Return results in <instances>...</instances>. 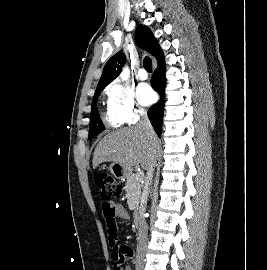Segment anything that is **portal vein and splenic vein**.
<instances>
[{
    "instance_id": "portal-vein-and-splenic-vein-1",
    "label": "portal vein and splenic vein",
    "mask_w": 267,
    "mask_h": 270,
    "mask_svg": "<svg viewBox=\"0 0 267 270\" xmlns=\"http://www.w3.org/2000/svg\"><path fill=\"white\" fill-rule=\"evenodd\" d=\"M143 176H144V173L143 172H138L137 173V180H142L143 179Z\"/></svg>"
}]
</instances>
